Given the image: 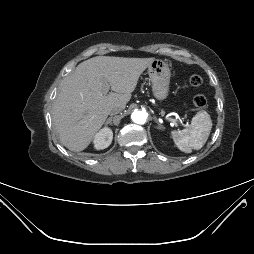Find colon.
Returning <instances> with one entry per match:
<instances>
[{
    "label": "colon",
    "instance_id": "1",
    "mask_svg": "<svg viewBox=\"0 0 254 254\" xmlns=\"http://www.w3.org/2000/svg\"><path fill=\"white\" fill-rule=\"evenodd\" d=\"M189 84L192 87H198L202 84L201 76L193 74L189 77ZM193 104L196 108H203L206 105V98L203 95H197L193 99Z\"/></svg>",
    "mask_w": 254,
    "mask_h": 254
}]
</instances>
